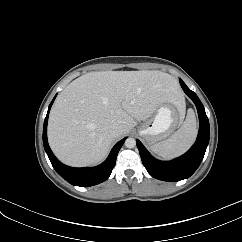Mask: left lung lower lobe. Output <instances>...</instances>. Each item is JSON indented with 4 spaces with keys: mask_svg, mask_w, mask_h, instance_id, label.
I'll list each match as a JSON object with an SVG mask.
<instances>
[{
    "mask_svg": "<svg viewBox=\"0 0 242 242\" xmlns=\"http://www.w3.org/2000/svg\"><path fill=\"white\" fill-rule=\"evenodd\" d=\"M184 92L195 103L199 115V132L194 145L182 156L171 161H159L152 157L142 143L137 140L139 153L148 173L163 181H180L190 177L199 167L209 143L210 128L204 106L186 84L180 80Z\"/></svg>",
    "mask_w": 242,
    "mask_h": 242,
    "instance_id": "1",
    "label": "left lung lower lobe"
}]
</instances>
